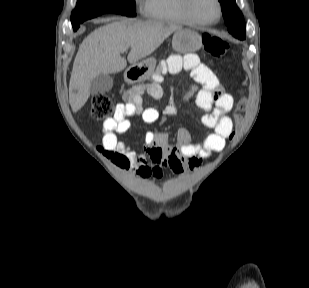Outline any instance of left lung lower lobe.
<instances>
[{
	"mask_svg": "<svg viewBox=\"0 0 309 288\" xmlns=\"http://www.w3.org/2000/svg\"><path fill=\"white\" fill-rule=\"evenodd\" d=\"M233 36H235L236 38H238V39H240V40L245 39V36H241V35H233Z\"/></svg>",
	"mask_w": 309,
	"mask_h": 288,
	"instance_id": "1",
	"label": "left lung lower lobe"
}]
</instances>
